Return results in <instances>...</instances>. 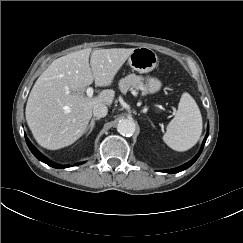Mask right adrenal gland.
I'll return each instance as SVG.
<instances>
[{
    "instance_id": "2a0ac1e0",
    "label": "right adrenal gland",
    "mask_w": 243,
    "mask_h": 243,
    "mask_svg": "<svg viewBox=\"0 0 243 243\" xmlns=\"http://www.w3.org/2000/svg\"><path fill=\"white\" fill-rule=\"evenodd\" d=\"M99 119H100V118H97V117H96V118H95V117L92 118L90 124L87 126V129H86V131L89 130V131L87 132V135H89V134L92 132V130H93L94 126H95V121H96V120H99Z\"/></svg>"
}]
</instances>
